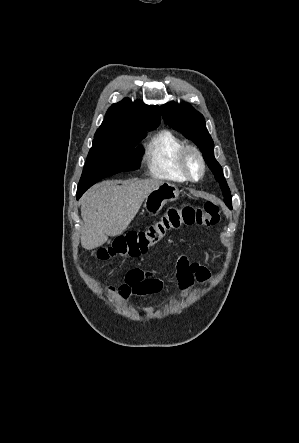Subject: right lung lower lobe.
Listing matches in <instances>:
<instances>
[{"label":"right lung lower lobe","mask_w":299,"mask_h":443,"mask_svg":"<svg viewBox=\"0 0 299 443\" xmlns=\"http://www.w3.org/2000/svg\"><path fill=\"white\" fill-rule=\"evenodd\" d=\"M82 194H77V199H79L81 197Z\"/></svg>","instance_id":"obj_1"}]
</instances>
